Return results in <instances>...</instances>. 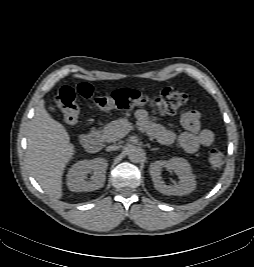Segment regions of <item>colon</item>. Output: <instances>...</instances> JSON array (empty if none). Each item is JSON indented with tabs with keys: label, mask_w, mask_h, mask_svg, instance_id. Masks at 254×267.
<instances>
[{
	"label": "colon",
	"mask_w": 254,
	"mask_h": 267,
	"mask_svg": "<svg viewBox=\"0 0 254 267\" xmlns=\"http://www.w3.org/2000/svg\"><path fill=\"white\" fill-rule=\"evenodd\" d=\"M78 97L91 101L101 111L113 109L131 110L148 108L153 113L174 114L188 103V97L174 87H166L155 97H148L136 90L119 89L110 95H96L88 83L65 85L55 96V102L62 112V124L74 125L79 117ZM225 158L221 151L212 149L207 154V162L214 170H219Z\"/></svg>",
	"instance_id": "1"
}]
</instances>
